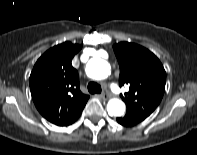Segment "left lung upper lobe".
<instances>
[{
	"mask_svg": "<svg viewBox=\"0 0 197 155\" xmlns=\"http://www.w3.org/2000/svg\"><path fill=\"white\" fill-rule=\"evenodd\" d=\"M120 66L119 85L129 86L121 94L127 115L145 120L159 105L165 91L166 72L148 49L129 42L113 45Z\"/></svg>",
	"mask_w": 197,
	"mask_h": 155,
	"instance_id": "1",
	"label": "left lung upper lobe"
}]
</instances>
